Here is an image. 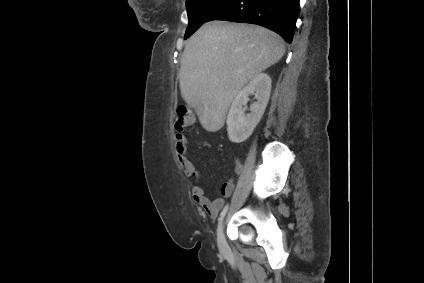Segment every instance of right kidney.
Instances as JSON below:
<instances>
[{"label": "right kidney", "mask_w": 424, "mask_h": 283, "mask_svg": "<svg viewBox=\"0 0 424 283\" xmlns=\"http://www.w3.org/2000/svg\"><path fill=\"white\" fill-rule=\"evenodd\" d=\"M271 82V78L266 73H260L236 95L226 121L230 141L240 143L251 136L269 101ZM251 94L255 95L257 101L250 106V113L245 114L246 104Z\"/></svg>", "instance_id": "obj_1"}]
</instances>
